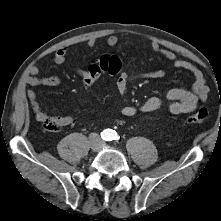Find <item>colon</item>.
Instances as JSON below:
<instances>
[{
  "label": "colon",
  "mask_w": 221,
  "mask_h": 221,
  "mask_svg": "<svg viewBox=\"0 0 221 221\" xmlns=\"http://www.w3.org/2000/svg\"><path fill=\"white\" fill-rule=\"evenodd\" d=\"M121 62L116 56H103L88 68V76L84 80L86 86H90L96 81L103 72L115 74L120 70ZM209 118V111L202 107L195 113L186 118L187 124H202ZM43 127L50 132H57L61 125L56 117L47 115L42 121Z\"/></svg>",
  "instance_id": "1"
}]
</instances>
